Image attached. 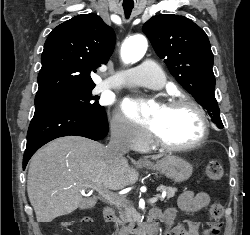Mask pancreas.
<instances>
[{"instance_id": "obj_1", "label": "pancreas", "mask_w": 250, "mask_h": 235, "mask_svg": "<svg viewBox=\"0 0 250 235\" xmlns=\"http://www.w3.org/2000/svg\"><path fill=\"white\" fill-rule=\"evenodd\" d=\"M160 191H165L167 194V199L169 200L175 195V192L177 191L176 188L173 187H167V186H160L159 189ZM114 204L119 208L120 210V217L122 221L124 222H134L140 219V215L136 211V209L132 206L129 205L123 198L117 197L115 199ZM120 207H123L124 209H120Z\"/></svg>"}]
</instances>
